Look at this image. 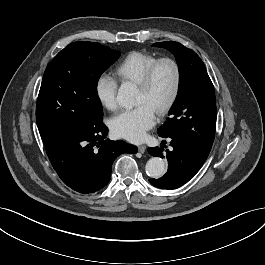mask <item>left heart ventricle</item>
<instances>
[{
    "label": "left heart ventricle",
    "mask_w": 265,
    "mask_h": 265,
    "mask_svg": "<svg viewBox=\"0 0 265 265\" xmlns=\"http://www.w3.org/2000/svg\"><path fill=\"white\" fill-rule=\"evenodd\" d=\"M174 69L169 63L161 64L155 71L148 91L137 89L135 104H145L156 112L169 98L174 85Z\"/></svg>",
    "instance_id": "b2bd125f"
}]
</instances>
